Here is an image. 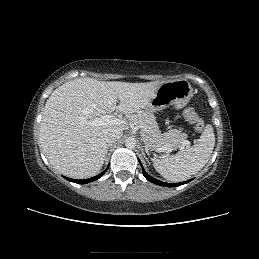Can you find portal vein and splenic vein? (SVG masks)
Segmentation results:
<instances>
[{"label":"portal vein and splenic vein","instance_id":"portal-vein-and-splenic-vein-1","mask_svg":"<svg viewBox=\"0 0 259 259\" xmlns=\"http://www.w3.org/2000/svg\"><path fill=\"white\" fill-rule=\"evenodd\" d=\"M89 125L91 126H101V125H105V124H125L124 120H121L119 118H115L112 117L110 115H103L102 117L99 118H95L91 121L88 122ZM190 143L188 141H186L184 143V145H189ZM160 151H170V149L166 146H162L161 148H159Z\"/></svg>","mask_w":259,"mask_h":259}]
</instances>
